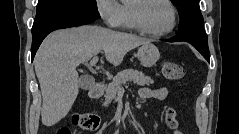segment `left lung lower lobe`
Listing matches in <instances>:
<instances>
[{
	"label": "left lung lower lobe",
	"instance_id": "0a47b994",
	"mask_svg": "<svg viewBox=\"0 0 239 134\" xmlns=\"http://www.w3.org/2000/svg\"><path fill=\"white\" fill-rule=\"evenodd\" d=\"M168 42H176V41H186L191 43L205 58L207 61L210 60V54L208 49L207 35H199V34H181L171 40H166Z\"/></svg>",
	"mask_w": 239,
	"mask_h": 134
}]
</instances>
